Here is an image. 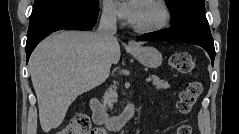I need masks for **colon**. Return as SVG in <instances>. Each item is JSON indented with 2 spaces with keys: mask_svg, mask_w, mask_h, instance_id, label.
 Masks as SVG:
<instances>
[{
  "mask_svg": "<svg viewBox=\"0 0 239 134\" xmlns=\"http://www.w3.org/2000/svg\"><path fill=\"white\" fill-rule=\"evenodd\" d=\"M169 61L171 66L180 73H195V61L188 53H175L170 57ZM202 90L203 85L199 80H193L187 83L179 95V99L176 103V112L183 116L190 114ZM176 133L191 134L192 129L187 124H180L176 128ZM58 134H102V132L92 127L91 121L86 114L79 113L76 114L69 124Z\"/></svg>",
  "mask_w": 239,
  "mask_h": 134,
  "instance_id": "colon-1",
  "label": "colon"
}]
</instances>
